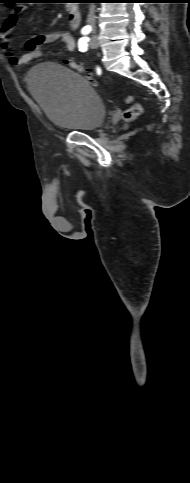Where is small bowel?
I'll use <instances>...</instances> for the list:
<instances>
[{
	"instance_id": "obj_1",
	"label": "small bowel",
	"mask_w": 190,
	"mask_h": 483,
	"mask_svg": "<svg viewBox=\"0 0 190 483\" xmlns=\"http://www.w3.org/2000/svg\"><path fill=\"white\" fill-rule=\"evenodd\" d=\"M27 9L25 5H19L5 19L0 29V48L6 56L7 60L16 66H25L40 55L44 45L60 41L66 50L70 53L76 48V40L68 31H52L42 35L29 38L24 48L26 52L21 56H16L11 50L10 36L15 28L19 16Z\"/></svg>"
}]
</instances>
